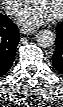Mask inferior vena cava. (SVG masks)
Listing matches in <instances>:
<instances>
[{"label": "inferior vena cava", "instance_id": "obj_1", "mask_svg": "<svg viewBox=\"0 0 63 107\" xmlns=\"http://www.w3.org/2000/svg\"><path fill=\"white\" fill-rule=\"evenodd\" d=\"M15 9V5H8V4H4V10L9 14L11 13V11H13Z\"/></svg>", "mask_w": 63, "mask_h": 107}]
</instances>
